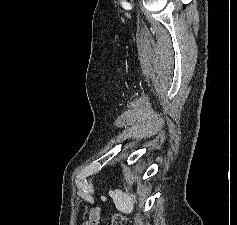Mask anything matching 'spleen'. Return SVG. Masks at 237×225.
<instances>
[{"label":"spleen","instance_id":"3e777b00","mask_svg":"<svg viewBox=\"0 0 237 225\" xmlns=\"http://www.w3.org/2000/svg\"><path fill=\"white\" fill-rule=\"evenodd\" d=\"M109 196L113 199L115 207L122 213L130 214L134 209V199L132 196L126 192H122L121 190H110Z\"/></svg>","mask_w":237,"mask_h":225}]
</instances>
